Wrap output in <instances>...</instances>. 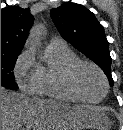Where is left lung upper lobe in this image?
Here are the masks:
<instances>
[{
  "instance_id": "obj_1",
  "label": "left lung upper lobe",
  "mask_w": 123,
  "mask_h": 130,
  "mask_svg": "<svg viewBox=\"0 0 123 130\" xmlns=\"http://www.w3.org/2000/svg\"><path fill=\"white\" fill-rule=\"evenodd\" d=\"M50 15L63 38L94 61L113 86L109 43L94 14L80 4L68 2L52 9Z\"/></svg>"
}]
</instances>
